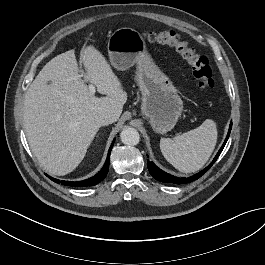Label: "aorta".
Wrapping results in <instances>:
<instances>
[{
    "mask_svg": "<svg viewBox=\"0 0 265 265\" xmlns=\"http://www.w3.org/2000/svg\"><path fill=\"white\" fill-rule=\"evenodd\" d=\"M122 143L125 145H137L140 141V135L135 128L126 127L120 133Z\"/></svg>",
    "mask_w": 265,
    "mask_h": 265,
    "instance_id": "obj_1",
    "label": "aorta"
}]
</instances>
